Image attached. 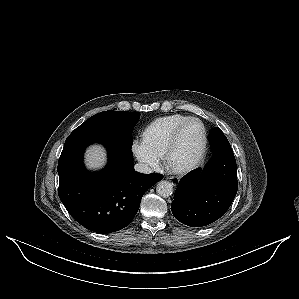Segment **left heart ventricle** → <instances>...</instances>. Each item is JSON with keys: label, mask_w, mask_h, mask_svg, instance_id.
I'll return each mask as SVG.
<instances>
[{"label": "left heart ventricle", "mask_w": 299, "mask_h": 299, "mask_svg": "<svg viewBox=\"0 0 299 299\" xmlns=\"http://www.w3.org/2000/svg\"><path fill=\"white\" fill-rule=\"evenodd\" d=\"M201 143V126L197 122L189 123L178 135L174 149L170 154V164L178 168L193 161L199 153Z\"/></svg>", "instance_id": "obj_1"}]
</instances>
